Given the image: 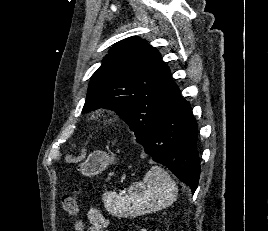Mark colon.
Instances as JSON below:
<instances>
[{
    "mask_svg": "<svg viewBox=\"0 0 268 231\" xmlns=\"http://www.w3.org/2000/svg\"><path fill=\"white\" fill-rule=\"evenodd\" d=\"M62 208L63 211L70 215V216H76L79 212V204L75 197L65 195L62 197Z\"/></svg>",
    "mask_w": 268,
    "mask_h": 231,
    "instance_id": "5ec220e1",
    "label": "colon"
}]
</instances>
